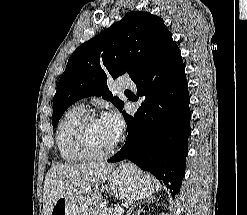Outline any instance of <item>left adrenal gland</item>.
Segmentation results:
<instances>
[{"instance_id":"a2214340","label":"left adrenal gland","mask_w":247,"mask_h":215,"mask_svg":"<svg viewBox=\"0 0 247 215\" xmlns=\"http://www.w3.org/2000/svg\"><path fill=\"white\" fill-rule=\"evenodd\" d=\"M149 201H150V199H148L146 202H149ZM142 203H144V202H142ZM138 205H140V202H138V203H136L134 206H132V207L129 209L128 212H132V210H134V208H136V206H138Z\"/></svg>"}]
</instances>
